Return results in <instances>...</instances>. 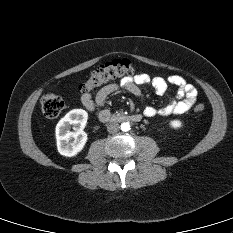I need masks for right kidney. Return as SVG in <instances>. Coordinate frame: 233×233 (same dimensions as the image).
<instances>
[{
    "label": "right kidney",
    "instance_id": "obj_1",
    "mask_svg": "<svg viewBox=\"0 0 233 233\" xmlns=\"http://www.w3.org/2000/svg\"><path fill=\"white\" fill-rule=\"evenodd\" d=\"M88 113L83 109L69 111L56 125L58 152L66 157L77 155L85 146L88 136L84 132ZM73 126V131H70Z\"/></svg>",
    "mask_w": 233,
    "mask_h": 233
}]
</instances>
